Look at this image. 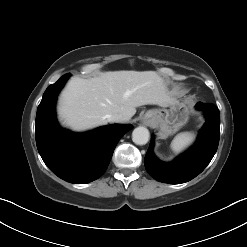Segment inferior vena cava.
<instances>
[{"label": "inferior vena cava", "mask_w": 247, "mask_h": 247, "mask_svg": "<svg viewBox=\"0 0 247 247\" xmlns=\"http://www.w3.org/2000/svg\"><path fill=\"white\" fill-rule=\"evenodd\" d=\"M127 118L119 113H115V114H110L107 116V120L109 122H122L125 121Z\"/></svg>", "instance_id": "602c4592"}]
</instances>
